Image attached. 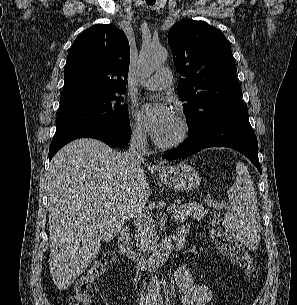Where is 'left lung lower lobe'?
<instances>
[{
    "instance_id": "0a47b994",
    "label": "left lung lower lobe",
    "mask_w": 297,
    "mask_h": 305,
    "mask_svg": "<svg viewBox=\"0 0 297 305\" xmlns=\"http://www.w3.org/2000/svg\"><path fill=\"white\" fill-rule=\"evenodd\" d=\"M189 137L164 154L166 160L185 158L208 147H228L241 152L258 169V143L243 101L229 103L188 130Z\"/></svg>"
}]
</instances>
